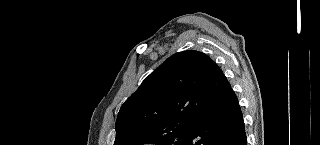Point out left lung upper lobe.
<instances>
[{
    "label": "left lung upper lobe",
    "instance_id": "left-lung-upper-lobe-1",
    "mask_svg": "<svg viewBox=\"0 0 320 145\" xmlns=\"http://www.w3.org/2000/svg\"><path fill=\"white\" fill-rule=\"evenodd\" d=\"M217 64L199 51L175 53L122 105L114 145H184L208 105Z\"/></svg>",
    "mask_w": 320,
    "mask_h": 145
}]
</instances>
